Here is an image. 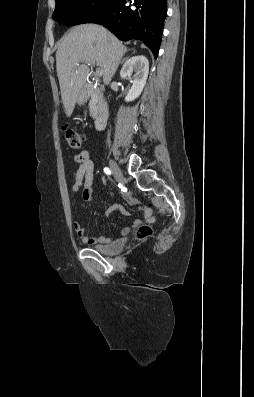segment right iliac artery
<instances>
[{"instance_id":"1","label":"right iliac artery","mask_w":254,"mask_h":397,"mask_svg":"<svg viewBox=\"0 0 254 397\" xmlns=\"http://www.w3.org/2000/svg\"><path fill=\"white\" fill-rule=\"evenodd\" d=\"M104 172H105L107 175H111V171L109 170V168H104Z\"/></svg>"}]
</instances>
